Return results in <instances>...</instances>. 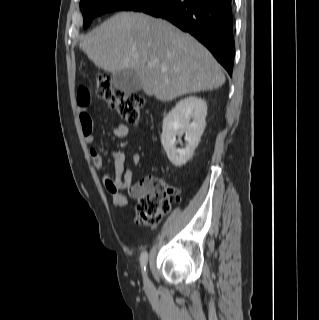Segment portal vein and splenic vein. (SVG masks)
I'll return each instance as SVG.
<instances>
[{
    "label": "portal vein and splenic vein",
    "instance_id": "obj_1",
    "mask_svg": "<svg viewBox=\"0 0 319 320\" xmlns=\"http://www.w3.org/2000/svg\"><path fill=\"white\" fill-rule=\"evenodd\" d=\"M148 66H149V67H154V63H153V62H149V63H148Z\"/></svg>",
    "mask_w": 319,
    "mask_h": 320
}]
</instances>
